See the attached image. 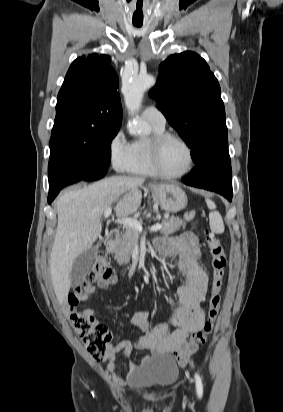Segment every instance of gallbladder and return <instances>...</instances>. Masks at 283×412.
<instances>
[{"mask_svg": "<svg viewBox=\"0 0 283 412\" xmlns=\"http://www.w3.org/2000/svg\"><path fill=\"white\" fill-rule=\"evenodd\" d=\"M97 249L98 247L94 245L75 259L70 273V280L73 286L81 284L88 274L95 260Z\"/></svg>", "mask_w": 283, "mask_h": 412, "instance_id": "1", "label": "gallbladder"}]
</instances>
